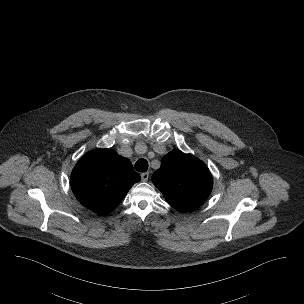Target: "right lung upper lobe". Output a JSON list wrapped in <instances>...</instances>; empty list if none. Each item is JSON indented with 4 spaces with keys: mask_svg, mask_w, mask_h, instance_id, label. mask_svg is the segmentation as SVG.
<instances>
[{
    "mask_svg": "<svg viewBox=\"0 0 304 304\" xmlns=\"http://www.w3.org/2000/svg\"><path fill=\"white\" fill-rule=\"evenodd\" d=\"M139 180L131 162L109 149L88 152L71 174L76 198L100 215L112 212Z\"/></svg>",
    "mask_w": 304,
    "mask_h": 304,
    "instance_id": "1",
    "label": "right lung upper lobe"
}]
</instances>
